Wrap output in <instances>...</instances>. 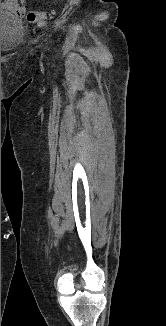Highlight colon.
Instances as JSON below:
<instances>
[{"mask_svg": "<svg viewBox=\"0 0 166 326\" xmlns=\"http://www.w3.org/2000/svg\"><path fill=\"white\" fill-rule=\"evenodd\" d=\"M51 13L45 11H31L27 14V20L33 23H43L48 17H50Z\"/></svg>", "mask_w": 166, "mask_h": 326, "instance_id": "1", "label": "colon"}]
</instances>
